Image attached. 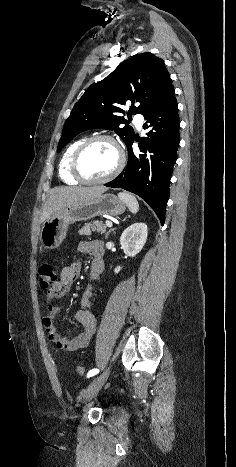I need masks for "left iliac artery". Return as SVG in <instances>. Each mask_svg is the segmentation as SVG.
<instances>
[{"label": "left iliac artery", "mask_w": 236, "mask_h": 467, "mask_svg": "<svg viewBox=\"0 0 236 467\" xmlns=\"http://www.w3.org/2000/svg\"><path fill=\"white\" fill-rule=\"evenodd\" d=\"M98 372H99L98 369H92L87 373V377L90 378V377L96 375Z\"/></svg>", "instance_id": "1"}]
</instances>
